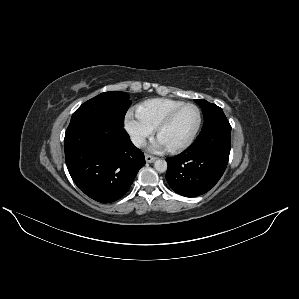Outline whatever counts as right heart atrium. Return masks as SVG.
<instances>
[{"instance_id":"d8ad5b80","label":"right heart atrium","mask_w":299,"mask_h":299,"mask_svg":"<svg viewBox=\"0 0 299 299\" xmlns=\"http://www.w3.org/2000/svg\"><path fill=\"white\" fill-rule=\"evenodd\" d=\"M125 129L130 139L137 147L145 144L146 140L153 134L154 128L146 123L138 113L129 111L124 119Z\"/></svg>"}]
</instances>
